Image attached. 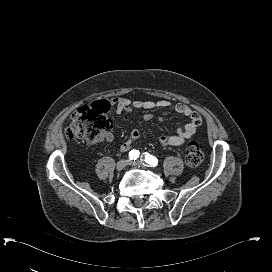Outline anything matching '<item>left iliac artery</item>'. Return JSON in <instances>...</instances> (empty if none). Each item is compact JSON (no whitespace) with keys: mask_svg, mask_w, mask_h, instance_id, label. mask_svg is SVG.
Instances as JSON below:
<instances>
[{"mask_svg":"<svg viewBox=\"0 0 272 272\" xmlns=\"http://www.w3.org/2000/svg\"><path fill=\"white\" fill-rule=\"evenodd\" d=\"M144 161H145L147 164H149V165H151V166H153V167H155V166L158 165V159H157L156 157H154V156H151V155L148 154V153H145Z\"/></svg>","mask_w":272,"mask_h":272,"instance_id":"1","label":"left iliac artery"}]
</instances>
